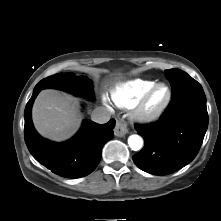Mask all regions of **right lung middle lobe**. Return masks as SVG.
Listing matches in <instances>:
<instances>
[{
  "instance_id": "1",
  "label": "right lung middle lobe",
  "mask_w": 221,
  "mask_h": 221,
  "mask_svg": "<svg viewBox=\"0 0 221 221\" xmlns=\"http://www.w3.org/2000/svg\"><path fill=\"white\" fill-rule=\"evenodd\" d=\"M35 88H55L73 94L92 97V85L86 76H74L72 73H59L41 80Z\"/></svg>"
}]
</instances>
